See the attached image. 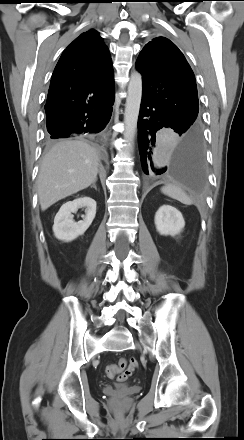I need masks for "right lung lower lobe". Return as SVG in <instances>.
<instances>
[{"label": "right lung lower lobe", "mask_w": 244, "mask_h": 440, "mask_svg": "<svg viewBox=\"0 0 244 440\" xmlns=\"http://www.w3.org/2000/svg\"><path fill=\"white\" fill-rule=\"evenodd\" d=\"M112 96L100 109L91 112H79L70 116L47 117V130L50 138L69 137L76 134H93L102 131L108 124L112 105L114 104Z\"/></svg>", "instance_id": "obj_1"}]
</instances>
